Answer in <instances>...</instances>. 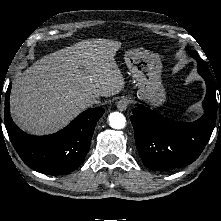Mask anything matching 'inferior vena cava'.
Returning <instances> with one entry per match:
<instances>
[{
    "label": "inferior vena cava",
    "instance_id": "602c4592",
    "mask_svg": "<svg viewBox=\"0 0 221 221\" xmlns=\"http://www.w3.org/2000/svg\"><path fill=\"white\" fill-rule=\"evenodd\" d=\"M85 103L87 105H91V104L99 103V101H97L94 97H88L85 99Z\"/></svg>",
    "mask_w": 221,
    "mask_h": 221
}]
</instances>
